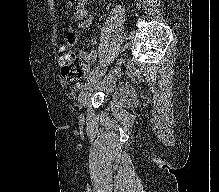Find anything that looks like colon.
I'll return each mask as SVG.
<instances>
[{
	"mask_svg": "<svg viewBox=\"0 0 219 192\" xmlns=\"http://www.w3.org/2000/svg\"><path fill=\"white\" fill-rule=\"evenodd\" d=\"M74 41L75 34L73 32H69L62 44V76L70 81L80 79L83 76L85 69L83 62L70 50Z\"/></svg>",
	"mask_w": 219,
	"mask_h": 192,
	"instance_id": "5ec220e1",
	"label": "colon"
}]
</instances>
